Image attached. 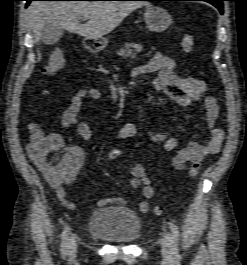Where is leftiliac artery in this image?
Instances as JSON below:
<instances>
[{
  "instance_id": "left-iliac-artery-1",
  "label": "left iliac artery",
  "mask_w": 247,
  "mask_h": 265,
  "mask_svg": "<svg viewBox=\"0 0 247 265\" xmlns=\"http://www.w3.org/2000/svg\"><path fill=\"white\" fill-rule=\"evenodd\" d=\"M170 230L172 233V254L174 256H178L179 252V230L178 227L174 223H169Z\"/></svg>"
}]
</instances>
